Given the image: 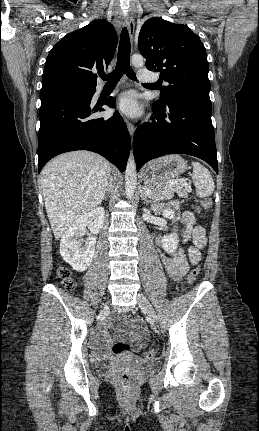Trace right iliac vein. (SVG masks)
Wrapping results in <instances>:
<instances>
[{"label": "right iliac vein", "instance_id": "1", "mask_svg": "<svg viewBox=\"0 0 259 431\" xmlns=\"http://www.w3.org/2000/svg\"><path fill=\"white\" fill-rule=\"evenodd\" d=\"M108 309V306L107 305H105L104 306V311H106Z\"/></svg>", "mask_w": 259, "mask_h": 431}]
</instances>
